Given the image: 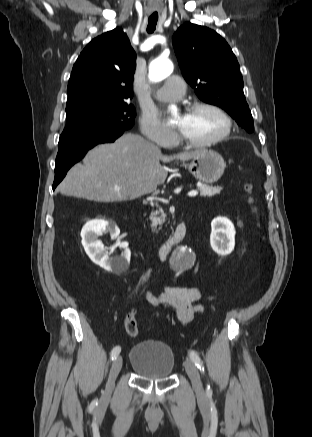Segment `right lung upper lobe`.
Wrapping results in <instances>:
<instances>
[{
  "mask_svg": "<svg viewBox=\"0 0 312 437\" xmlns=\"http://www.w3.org/2000/svg\"><path fill=\"white\" fill-rule=\"evenodd\" d=\"M136 53L123 30L93 39L73 66L67 107L82 102H127L133 96Z\"/></svg>",
  "mask_w": 312,
  "mask_h": 437,
  "instance_id": "obj_1",
  "label": "right lung upper lobe"
}]
</instances>
